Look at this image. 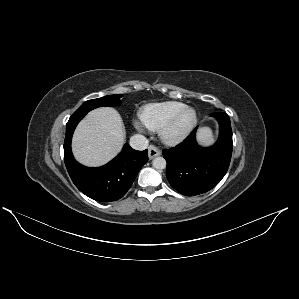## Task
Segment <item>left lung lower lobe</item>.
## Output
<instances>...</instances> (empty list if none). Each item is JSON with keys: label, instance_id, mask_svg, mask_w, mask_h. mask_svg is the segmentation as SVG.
I'll use <instances>...</instances> for the list:
<instances>
[{"label": "left lung lower lobe", "instance_id": "obj_1", "mask_svg": "<svg viewBox=\"0 0 299 299\" xmlns=\"http://www.w3.org/2000/svg\"><path fill=\"white\" fill-rule=\"evenodd\" d=\"M219 123L218 141L211 147L198 146L195 128L179 145L163 150L166 177L179 193L195 196L215 187L226 174L232 155V130L225 113H213Z\"/></svg>", "mask_w": 299, "mask_h": 299}]
</instances>
